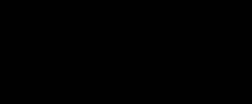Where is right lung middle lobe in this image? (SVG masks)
<instances>
[{
	"label": "right lung middle lobe",
	"mask_w": 252,
	"mask_h": 104,
	"mask_svg": "<svg viewBox=\"0 0 252 104\" xmlns=\"http://www.w3.org/2000/svg\"><path fill=\"white\" fill-rule=\"evenodd\" d=\"M112 25L109 19L90 15L65 24L46 38L36 65L39 67L53 57H66L103 69V42Z\"/></svg>",
	"instance_id": "1"
}]
</instances>
